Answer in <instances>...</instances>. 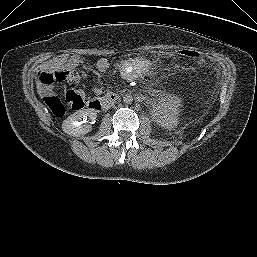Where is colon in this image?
I'll return each mask as SVG.
<instances>
[{"instance_id":"1","label":"colon","mask_w":257,"mask_h":257,"mask_svg":"<svg viewBox=\"0 0 257 257\" xmlns=\"http://www.w3.org/2000/svg\"><path fill=\"white\" fill-rule=\"evenodd\" d=\"M181 56L190 59L197 60L200 58V53L195 49L184 48L179 50ZM61 75L59 73H40L38 80L44 85H52L56 81H60ZM45 104L50 111L57 117L64 115L66 108L64 103L56 96L49 94L44 97ZM85 94L81 90L71 89L65 94V103L74 110H79L84 106Z\"/></svg>"}]
</instances>
